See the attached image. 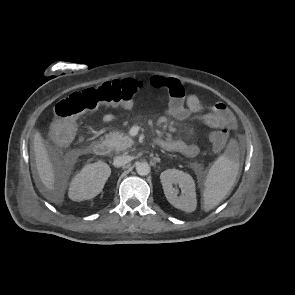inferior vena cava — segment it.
I'll return each mask as SVG.
<instances>
[{
	"mask_svg": "<svg viewBox=\"0 0 295 295\" xmlns=\"http://www.w3.org/2000/svg\"><path fill=\"white\" fill-rule=\"evenodd\" d=\"M132 160L131 156L128 155H121V156H116L114 158V166L116 167H121V166H125L127 163H129Z\"/></svg>",
	"mask_w": 295,
	"mask_h": 295,
	"instance_id": "obj_1",
	"label": "inferior vena cava"
}]
</instances>
